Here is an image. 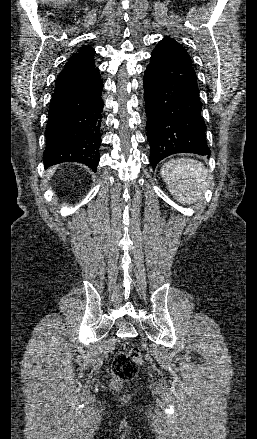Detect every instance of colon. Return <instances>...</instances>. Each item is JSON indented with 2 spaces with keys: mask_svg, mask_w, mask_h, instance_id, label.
<instances>
[{
  "mask_svg": "<svg viewBox=\"0 0 257 439\" xmlns=\"http://www.w3.org/2000/svg\"><path fill=\"white\" fill-rule=\"evenodd\" d=\"M143 362V357L138 348L120 352L112 361V373L117 381L133 379Z\"/></svg>",
  "mask_w": 257,
  "mask_h": 439,
  "instance_id": "5ec220e1",
  "label": "colon"
}]
</instances>
